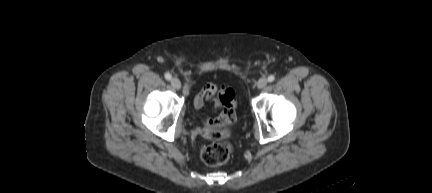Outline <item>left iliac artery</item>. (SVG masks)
<instances>
[{
  "label": "left iliac artery",
  "mask_w": 432,
  "mask_h": 193,
  "mask_svg": "<svg viewBox=\"0 0 432 193\" xmlns=\"http://www.w3.org/2000/svg\"><path fill=\"white\" fill-rule=\"evenodd\" d=\"M275 80V76L274 75H270L268 77V82H273Z\"/></svg>",
  "instance_id": "left-iliac-artery-1"
}]
</instances>
